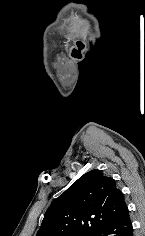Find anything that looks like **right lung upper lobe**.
I'll use <instances>...</instances> for the list:
<instances>
[{"mask_svg":"<svg viewBox=\"0 0 145 236\" xmlns=\"http://www.w3.org/2000/svg\"><path fill=\"white\" fill-rule=\"evenodd\" d=\"M126 208L115 181L92 170L50 205L36 236H94Z\"/></svg>","mask_w":145,"mask_h":236,"instance_id":"cb5924a9","label":"right lung upper lobe"}]
</instances>
